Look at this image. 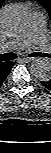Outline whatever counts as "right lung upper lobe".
<instances>
[{
  "mask_svg": "<svg viewBox=\"0 0 51 153\" xmlns=\"http://www.w3.org/2000/svg\"><path fill=\"white\" fill-rule=\"evenodd\" d=\"M5 0H0V7L3 4ZM6 62H0V68H2L3 65H5Z\"/></svg>",
  "mask_w": 51,
  "mask_h": 153,
  "instance_id": "1",
  "label": "right lung upper lobe"
}]
</instances>
